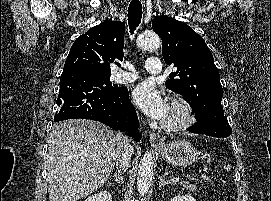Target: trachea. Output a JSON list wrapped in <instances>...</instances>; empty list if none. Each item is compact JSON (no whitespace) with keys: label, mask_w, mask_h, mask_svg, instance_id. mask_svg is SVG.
Here are the masks:
<instances>
[{"label":"trachea","mask_w":271,"mask_h":201,"mask_svg":"<svg viewBox=\"0 0 271 201\" xmlns=\"http://www.w3.org/2000/svg\"><path fill=\"white\" fill-rule=\"evenodd\" d=\"M142 18V4L139 0H131L128 7V23L130 31L139 26Z\"/></svg>","instance_id":"1"}]
</instances>
